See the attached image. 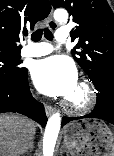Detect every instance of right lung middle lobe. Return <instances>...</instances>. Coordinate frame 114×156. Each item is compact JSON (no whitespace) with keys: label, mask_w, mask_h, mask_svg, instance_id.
Listing matches in <instances>:
<instances>
[{"label":"right lung middle lobe","mask_w":114,"mask_h":156,"mask_svg":"<svg viewBox=\"0 0 114 156\" xmlns=\"http://www.w3.org/2000/svg\"><path fill=\"white\" fill-rule=\"evenodd\" d=\"M19 54L20 51L0 50V85L15 84L25 74L26 68L20 67Z\"/></svg>","instance_id":"obj_1"}]
</instances>
